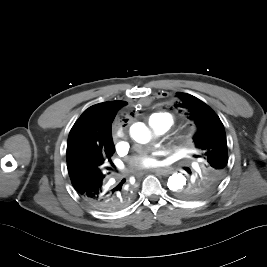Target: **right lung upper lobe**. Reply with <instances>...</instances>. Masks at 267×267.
Wrapping results in <instances>:
<instances>
[{"mask_svg":"<svg viewBox=\"0 0 267 267\" xmlns=\"http://www.w3.org/2000/svg\"><path fill=\"white\" fill-rule=\"evenodd\" d=\"M123 101H111L93 105L83 112L73 125L67 143V155L79 154L92 146H108L111 142L110 125Z\"/></svg>","mask_w":267,"mask_h":267,"instance_id":"right-lung-upper-lobe-1","label":"right lung upper lobe"}]
</instances>
